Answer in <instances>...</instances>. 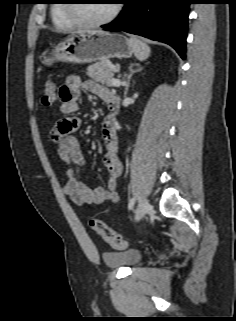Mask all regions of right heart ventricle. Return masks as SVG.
Wrapping results in <instances>:
<instances>
[{
  "label": "right heart ventricle",
  "instance_id": "right-heart-ventricle-1",
  "mask_svg": "<svg viewBox=\"0 0 236 321\" xmlns=\"http://www.w3.org/2000/svg\"><path fill=\"white\" fill-rule=\"evenodd\" d=\"M68 0H58L56 4L52 6L51 18L53 24L58 28H71L77 25V23L71 19L67 13V2Z\"/></svg>",
  "mask_w": 236,
  "mask_h": 321
}]
</instances>
